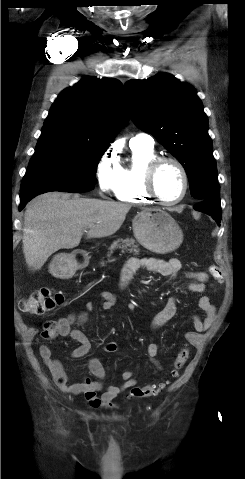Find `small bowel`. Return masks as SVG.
Segmentation results:
<instances>
[{
  "instance_id": "1",
  "label": "small bowel",
  "mask_w": 245,
  "mask_h": 479,
  "mask_svg": "<svg viewBox=\"0 0 245 479\" xmlns=\"http://www.w3.org/2000/svg\"><path fill=\"white\" fill-rule=\"evenodd\" d=\"M141 269L149 270L173 281L181 270V263L176 258L165 260L156 257H130L121 271V289L128 288L132 283L135 274ZM188 277L192 279V281L186 286L188 291L194 293H203L205 291V283L208 279L206 273L190 272L188 273ZM101 297L103 299L102 308L104 310H111L117 305L118 298L116 294L102 292ZM199 307L204 314V318L201 319L198 316H194L193 323L195 331L201 333L208 330L214 324L216 320V308L206 295H202L199 298ZM93 309L94 305L88 303L85 306L84 313L78 316L70 315L57 320L59 335L62 337H70L78 343V346L71 352V357L74 359L82 358L87 355L90 351L91 343L87 335L81 329L74 328L72 325L75 322L83 323L86 319V313ZM176 310V298L170 297L164 308L155 316L152 322V330L155 331L164 326L174 317ZM192 335L193 332H190L187 336L191 337ZM104 349L109 353H114L118 350V344L114 341L107 342L104 345ZM160 349V345L153 341L147 346L148 357L158 369H161V364L156 359V356ZM39 353L60 390L67 394L83 395L93 408L111 406L117 396L136 385L133 372L124 371L122 373V383L119 386H111L103 391L105 369L102 363L96 358L90 359L87 364L90 373L96 377V380L85 378L81 383L71 384L68 381V376L62 363L58 359L53 358L50 346L46 344L41 345Z\"/></svg>"
}]
</instances>
